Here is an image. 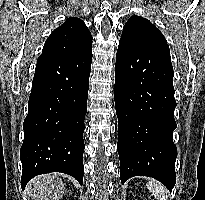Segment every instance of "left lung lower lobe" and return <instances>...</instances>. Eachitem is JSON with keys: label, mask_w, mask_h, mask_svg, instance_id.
Wrapping results in <instances>:
<instances>
[{"label": "left lung lower lobe", "mask_w": 205, "mask_h": 200, "mask_svg": "<svg viewBox=\"0 0 205 200\" xmlns=\"http://www.w3.org/2000/svg\"><path fill=\"white\" fill-rule=\"evenodd\" d=\"M173 75L167 44L119 43L114 98L122 183L143 175L159 180L170 191L175 185Z\"/></svg>", "instance_id": "obj_1"}]
</instances>
